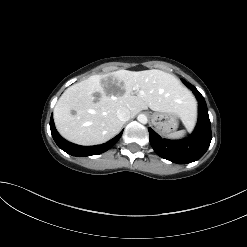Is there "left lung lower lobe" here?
<instances>
[{"label": "left lung lower lobe", "instance_id": "0a47b994", "mask_svg": "<svg viewBox=\"0 0 247 247\" xmlns=\"http://www.w3.org/2000/svg\"><path fill=\"white\" fill-rule=\"evenodd\" d=\"M198 100V124L193 133L182 140L162 139L156 132L149 128L150 143L154 151L160 157L178 164L194 162L200 159L207 151L211 139V124L208 109L204 97L191 84L183 80Z\"/></svg>", "mask_w": 247, "mask_h": 247}]
</instances>
